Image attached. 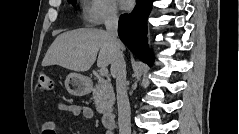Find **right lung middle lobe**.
Masks as SVG:
<instances>
[{
  "instance_id": "dd1d6c3e",
  "label": "right lung middle lobe",
  "mask_w": 239,
  "mask_h": 134,
  "mask_svg": "<svg viewBox=\"0 0 239 134\" xmlns=\"http://www.w3.org/2000/svg\"><path fill=\"white\" fill-rule=\"evenodd\" d=\"M69 3H72L73 5H75L76 0H68Z\"/></svg>"
}]
</instances>
